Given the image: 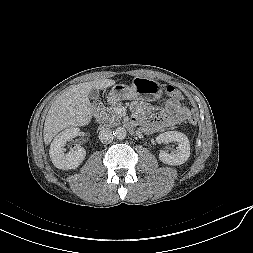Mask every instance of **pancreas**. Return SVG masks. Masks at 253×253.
Instances as JSON below:
<instances>
[{
    "label": "pancreas",
    "instance_id": "cf45deb5",
    "mask_svg": "<svg viewBox=\"0 0 253 253\" xmlns=\"http://www.w3.org/2000/svg\"><path fill=\"white\" fill-rule=\"evenodd\" d=\"M121 106L122 103H115L110 107H103L100 112L99 121L111 127L119 125L121 117L117 114V110Z\"/></svg>",
    "mask_w": 253,
    "mask_h": 253
}]
</instances>
